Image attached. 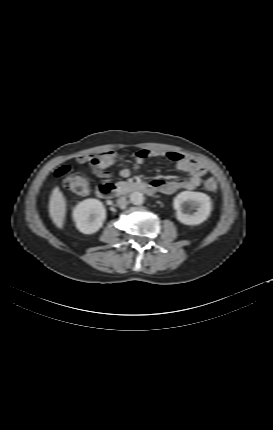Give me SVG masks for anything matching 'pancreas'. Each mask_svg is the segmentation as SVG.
Returning <instances> with one entry per match:
<instances>
[{
  "label": "pancreas",
  "mask_w": 273,
  "mask_h": 430,
  "mask_svg": "<svg viewBox=\"0 0 273 430\" xmlns=\"http://www.w3.org/2000/svg\"><path fill=\"white\" fill-rule=\"evenodd\" d=\"M130 186H131V184L128 182H125V181H120V182L116 183L117 191L120 194L125 193L129 189Z\"/></svg>",
  "instance_id": "cf45deb5"
}]
</instances>
